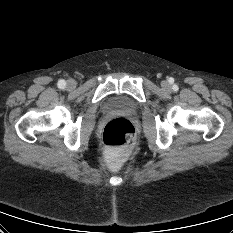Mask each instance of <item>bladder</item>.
I'll list each match as a JSON object with an SVG mask.
<instances>
[{"instance_id": "1", "label": "bladder", "mask_w": 233, "mask_h": 233, "mask_svg": "<svg viewBox=\"0 0 233 233\" xmlns=\"http://www.w3.org/2000/svg\"><path fill=\"white\" fill-rule=\"evenodd\" d=\"M104 107L108 111H132L135 104L126 96H112L107 99Z\"/></svg>"}]
</instances>
